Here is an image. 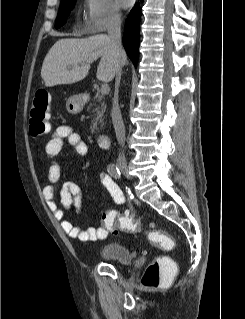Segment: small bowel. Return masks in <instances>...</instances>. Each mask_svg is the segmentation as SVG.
Masks as SVG:
<instances>
[{
    "instance_id": "small-bowel-1",
    "label": "small bowel",
    "mask_w": 245,
    "mask_h": 319,
    "mask_svg": "<svg viewBox=\"0 0 245 319\" xmlns=\"http://www.w3.org/2000/svg\"><path fill=\"white\" fill-rule=\"evenodd\" d=\"M65 142L73 146L80 156H85L88 152L87 145L74 128L63 125L57 127L48 140L45 147L47 157L53 160L61 152ZM60 175V165L53 160L48 168L47 184L43 188V196L54 218L59 221L63 232L71 238H77L83 242H95L105 239L108 236L106 227H89L81 230L74 223L65 219L66 211L73 208L79 213L82 210L83 194L81 187L72 181H66L61 186H58ZM98 178L111 194L115 203L122 204L123 202H118L119 196L114 194L116 188L113 187L115 184L113 180L104 173L99 174ZM56 195L60 197L61 206L55 200Z\"/></svg>"
}]
</instances>
